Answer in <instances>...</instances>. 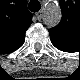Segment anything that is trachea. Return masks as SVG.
<instances>
[{"label":"trachea","mask_w":80,"mask_h":80,"mask_svg":"<svg viewBox=\"0 0 80 80\" xmlns=\"http://www.w3.org/2000/svg\"><path fill=\"white\" fill-rule=\"evenodd\" d=\"M28 8L32 12H38L41 9V5L37 0H31L29 2Z\"/></svg>","instance_id":"1"}]
</instances>
